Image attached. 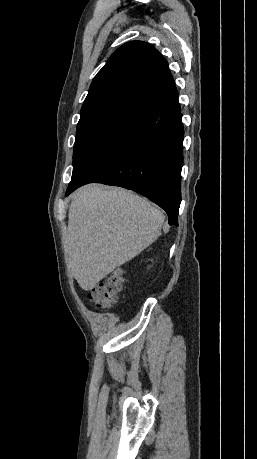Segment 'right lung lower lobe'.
Returning a JSON list of instances; mask_svg holds the SVG:
<instances>
[{"instance_id":"right-lung-lower-lobe-1","label":"right lung lower lobe","mask_w":257,"mask_h":459,"mask_svg":"<svg viewBox=\"0 0 257 459\" xmlns=\"http://www.w3.org/2000/svg\"><path fill=\"white\" fill-rule=\"evenodd\" d=\"M183 138L174 88L133 114L108 145L72 176L66 196L91 182L124 187L159 205L169 224L178 225Z\"/></svg>"}]
</instances>
